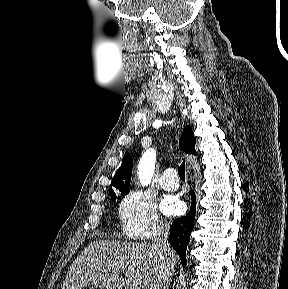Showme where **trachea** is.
<instances>
[{"instance_id": "obj_1", "label": "trachea", "mask_w": 288, "mask_h": 289, "mask_svg": "<svg viewBox=\"0 0 288 289\" xmlns=\"http://www.w3.org/2000/svg\"><path fill=\"white\" fill-rule=\"evenodd\" d=\"M178 175L181 180H185V162H183L178 168Z\"/></svg>"}]
</instances>
